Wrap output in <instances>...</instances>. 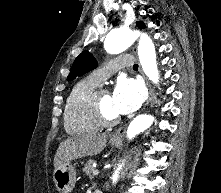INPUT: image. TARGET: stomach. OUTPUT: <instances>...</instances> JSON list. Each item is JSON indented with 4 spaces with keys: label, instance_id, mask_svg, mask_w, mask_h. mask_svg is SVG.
Returning a JSON list of instances; mask_svg holds the SVG:
<instances>
[{
    "label": "stomach",
    "instance_id": "obj_1",
    "mask_svg": "<svg viewBox=\"0 0 221 193\" xmlns=\"http://www.w3.org/2000/svg\"><path fill=\"white\" fill-rule=\"evenodd\" d=\"M120 143V140H110V144L112 146H119ZM53 180L57 190L60 193H70L73 190L76 182L75 167L70 162L58 166L54 170Z\"/></svg>",
    "mask_w": 221,
    "mask_h": 193
}]
</instances>
